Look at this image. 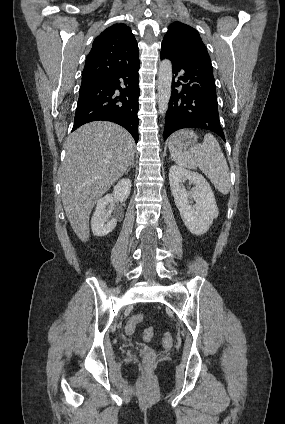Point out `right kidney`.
I'll return each instance as SVG.
<instances>
[{
  "mask_svg": "<svg viewBox=\"0 0 285 424\" xmlns=\"http://www.w3.org/2000/svg\"><path fill=\"white\" fill-rule=\"evenodd\" d=\"M131 191L130 179H121L115 186L113 194H107L97 201L95 212L91 219V229L95 236L103 237L114 230L117 220L112 218L107 223L109 214L112 212L114 199H118L121 203L125 202ZM111 207L107 210V206Z\"/></svg>",
  "mask_w": 285,
  "mask_h": 424,
  "instance_id": "right-kidney-1",
  "label": "right kidney"
}]
</instances>
